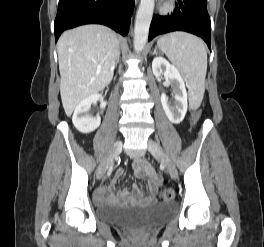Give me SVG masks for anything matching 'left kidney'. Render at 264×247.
<instances>
[{
  "mask_svg": "<svg viewBox=\"0 0 264 247\" xmlns=\"http://www.w3.org/2000/svg\"><path fill=\"white\" fill-rule=\"evenodd\" d=\"M153 74L158 77L164 75L166 81L171 85L174 93V106L168 103L167 96L161 94V103L165 114L170 122L180 123L187 112V92L184 81L178 69L163 57H156L152 62Z\"/></svg>",
  "mask_w": 264,
  "mask_h": 247,
  "instance_id": "obj_1",
  "label": "left kidney"
}]
</instances>
